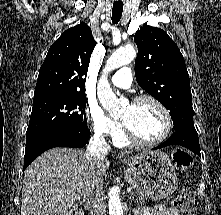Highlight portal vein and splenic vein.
Segmentation results:
<instances>
[{"mask_svg":"<svg viewBox=\"0 0 221 215\" xmlns=\"http://www.w3.org/2000/svg\"><path fill=\"white\" fill-rule=\"evenodd\" d=\"M130 199H131V200H133V199H134V197H133V196H130Z\"/></svg>","mask_w":221,"mask_h":215,"instance_id":"18ae733b","label":"portal vein and splenic vein"}]
</instances>
